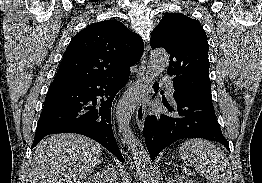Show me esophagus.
I'll use <instances>...</instances> for the list:
<instances>
[{
  "label": "esophagus",
  "instance_id": "1",
  "mask_svg": "<svg viewBox=\"0 0 262 183\" xmlns=\"http://www.w3.org/2000/svg\"><path fill=\"white\" fill-rule=\"evenodd\" d=\"M146 64H147V59H146V51L143 54V57L141 59V64L139 67V71L137 72L136 78L140 79L142 76L145 75V73L147 72V68H146ZM150 93H151V88H147L138 108L136 111V121L137 124L139 126L140 129L143 128L144 126V121H145V115H146V107H147V103L150 99Z\"/></svg>",
  "mask_w": 262,
  "mask_h": 183
}]
</instances>
